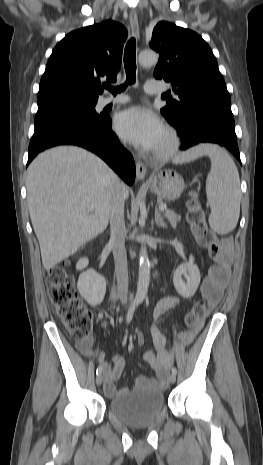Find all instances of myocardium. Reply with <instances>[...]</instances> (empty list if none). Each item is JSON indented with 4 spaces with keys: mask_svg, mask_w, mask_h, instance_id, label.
Listing matches in <instances>:
<instances>
[{
    "mask_svg": "<svg viewBox=\"0 0 263 465\" xmlns=\"http://www.w3.org/2000/svg\"><path fill=\"white\" fill-rule=\"evenodd\" d=\"M164 136L166 144L163 148L154 150L152 157L156 161H167L174 157L180 146V140L176 131L171 127H166L164 129Z\"/></svg>",
    "mask_w": 263,
    "mask_h": 465,
    "instance_id": "obj_1",
    "label": "myocardium"
}]
</instances>
